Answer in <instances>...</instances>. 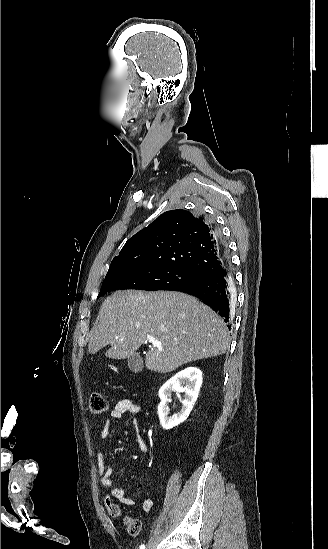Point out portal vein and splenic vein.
<instances>
[{
	"label": "portal vein and splenic vein",
	"instance_id": "1",
	"mask_svg": "<svg viewBox=\"0 0 328 549\" xmlns=\"http://www.w3.org/2000/svg\"><path fill=\"white\" fill-rule=\"evenodd\" d=\"M116 339H118V337H116ZM119 341H123V339H119ZM148 343H151L154 347H162L161 341H155V339H148Z\"/></svg>",
	"mask_w": 328,
	"mask_h": 549
}]
</instances>
